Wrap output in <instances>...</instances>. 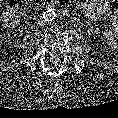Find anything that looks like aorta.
I'll return each mask as SVG.
<instances>
[{
    "instance_id": "aorta-1",
    "label": "aorta",
    "mask_w": 118,
    "mask_h": 118,
    "mask_svg": "<svg viewBox=\"0 0 118 118\" xmlns=\"http://www.w3.org/2000/svg\"><path fill=\"white\" fill-rule=\"evenodd\" d=\"M42 18L45 22H52L56 18V13L54 10L48 9L42 14Z\"/></svg>"
}]
</instances>
